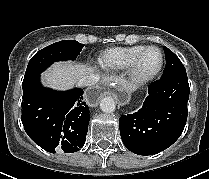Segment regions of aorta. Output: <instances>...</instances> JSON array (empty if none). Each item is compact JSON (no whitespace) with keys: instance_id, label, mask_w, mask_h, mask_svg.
<instances>
[{"instance_id":"762f6f07","label":"aorta","mask_w":209,"mask_h":179,"mask_svg":"<svg viewBox=\"0 0 209 179\" xmlns=\"http://www.w3.org/2000/svg\"><path fill=\"white\" fill-rule=\"evenodd\" d=\"M100 108L105 113H112L115 111V101L112 97H104L100 101Z\"/></svg>"}]
</instances>
